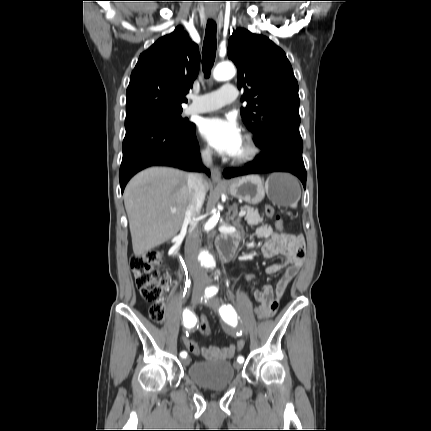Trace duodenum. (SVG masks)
<instances>
[{
  "label": "duodenum",
  "mask_w": 431,
  "mask_h": 431,
  "mask_svg": "<svg viewBox=\"0 0 431 431\" xmlns=\"http://www.w3.org/2000/svg\"><path fill=\"white\" fill-rule=\"evenodd\" d=\"M237 246L238 237L235 235L225 236L218 243L219 252L225 260L230 259L234 255Z\"/></svg>",
  "instance_id": "obj_1"
}]
</instances>
